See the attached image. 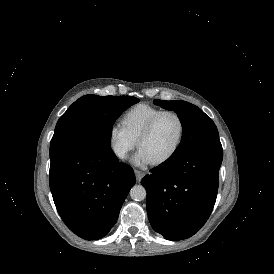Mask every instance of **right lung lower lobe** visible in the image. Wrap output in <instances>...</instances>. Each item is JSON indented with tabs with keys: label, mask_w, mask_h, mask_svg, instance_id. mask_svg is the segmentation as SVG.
<instances>
[{
	"label": "right lung lower lobe",
	"mask_w": 274,
	"mask_h": 274,
	"mask_svg": "<svg viewBox=\"0 0 274 274\" xmlns=\"http://www.w3.org/2000/svg\"><path fill=\"white\" fill-rule=\"evenodd\" d=\"M133 170L111 147L87 145L51 159L50 189L64 223L87 240L104 237L135 184Z\"/></svg>",
	"instance_id": "1"
}]
</instances>
